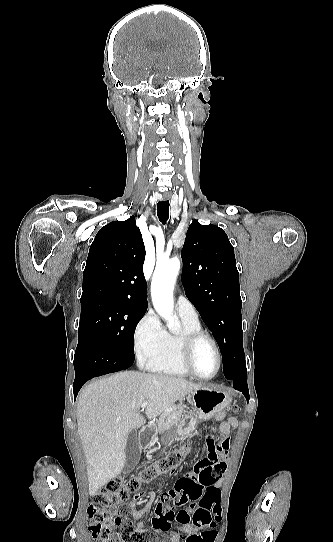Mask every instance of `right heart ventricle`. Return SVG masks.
<instances>
[{"label": "right heart ventricle", "mask_w": 333, "mask_h": 542, "mask_svg": "<svg viewBox=\"0 0 333 542\" xmlns=\"http://www.w3.org/2000/svg\"><path fill=\"white\" fill-rule=\"evenodd\" d=\"M182 329L179 332H166L163 342L153 348L138 353L139 366L147 371L165 373L177 377H190L180 359V344L188 333L201 332L199 320H190L180 316Z\"/></svg>", "instance_id": "e07e8e85"}]
</instances>
